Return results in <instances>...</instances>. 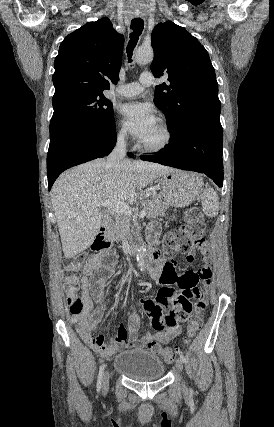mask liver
I'll use <instances>...</instances> for the list:
<instances>
[{
	"instance_id": "6515ba94",
	"label": "liver",
	"mask_w": 274,
	"mask_h": 427,
	"mask_svg": "<svg viewBox=\"0 0 274 427\" xmlns=\"http://www.w3.org/2000/svg\"><path fill=\"white\" fill-rule=\"evenodd\" d=\"M169 172L172 168L141 160H120L107 168L105 158H98L61 174L52 188L51 202L65 257H74L93 243L103 221L95 202L131 200L137 190Z\"/></svg>"
}]
</instances>
